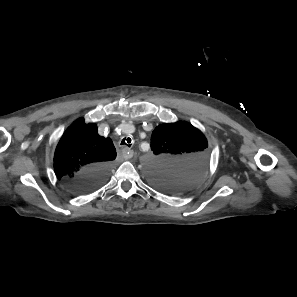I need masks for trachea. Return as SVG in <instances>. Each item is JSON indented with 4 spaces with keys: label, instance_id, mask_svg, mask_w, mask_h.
<instances>
[{
    "label": "trachea",
    "instance_id": "obj_1",
    "mask_svg": "<svg viewBox=\"0 0 297 297\" xmlns=\"http://www.w3.org/2000/svg\"><path fill=\"white\" fill-rule=\"evenodd\" d=\"M121 145H126L128 147L131 146V138L130 137H125L122 141H121Z\"/></svg>",
    "mask_w": 297,
    "mask_h": 297
}]
</instances>
